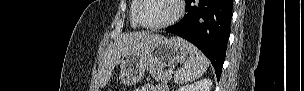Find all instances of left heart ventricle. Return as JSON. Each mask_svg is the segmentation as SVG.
Segmentation results:
<instances>
[{
	"instance_id": "left-heart-ventricle-1",
	"label": "left heart ventricle",
	"mask_w": 304,
	"mask_h": 91,
	"mask_svg": "<svg viewBox=\"0 0 304 91\" xmlns=\"http://www.w3.org/2000/svg\"><path fill=\"white\" fill-rule=\"evenodd\" d=\"M174 13L172 0H144L141 18L147 24H158L171 18Z\"/></svg>"
}]
</instances>
